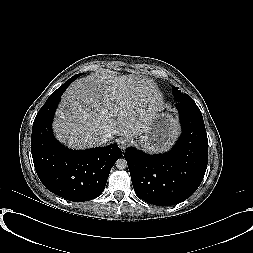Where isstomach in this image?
<instances>
[{
    "label": "stomach",
    "instance_id": "1",
    "mask_svg": "<svg viewBox=\"0 0 253 253\" xmlns=\"http://www.w3.org/2000/svg\"><path fill=\"white\" fill-rule=\"evenodd\" d=\"M146 131L136 140V144L148 152L166 151L178 134V123L168 113H153L147 123Z\"/></svg>",
    "mask_w": 253,
    "mask_h": 253
}]
</instances>
